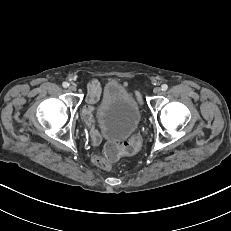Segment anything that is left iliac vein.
Masks as SVG:
<instances>
[{
	"label": "left iliac vein",
	"instance_id": "obj_1",
	"mask_svg": "<svg viewBox=\"0 0 231 231\" xmlns=\"http://www.w3.org/2000/svg\"><path fill=\"white\" fill-rule=\"evenodd\" d=\"M153 92H154L155 94H161L162 89H161L160 87H155L154 90H153Z\"/></svg>",
	"mask_w": 231,
	"mask_h": 231
}]
</instances>
